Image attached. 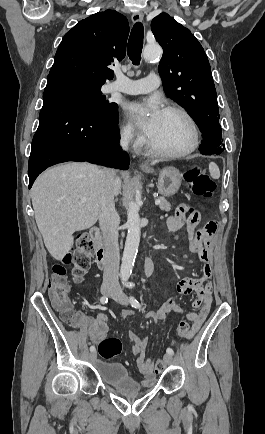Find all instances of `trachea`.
Wrapping results in <instances>:
<instances>
[{
  "instance_id": "1",
  "label": "trachea",
  "mask_w": 265,
  "mask_h": 434,
  "mask_svg": "<svg viewBox=\"0 0 265 434\" xmlns=\"http://www.w3.org/2000/svg\"><path fill=\"white\" fill-rule=\"evenodd\" d=\"M143 25L140 22L135 23L128 40V57L134 65H139L141 60V51L143 48Z\"/></svg>"
}]
</instances>
